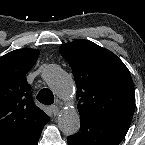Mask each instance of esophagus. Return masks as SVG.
<instances>
[{
  "label": "esophagus",
  "mask_w": 145,
  "mask_h": 145,
  "mask_svg": "<svg viewBox=\"0 0 145 145\" xmlns=\"http://www.w3.org/2000/svg\"><path fill=\"white\" fill-rule=\"evenodd\" d=\"M51 111H52L53 115H57L58 112H59L58 106L52 105V106H51Z\"/></svg>",
  "instance_id": "esophagus-1"
}]
</instances>
